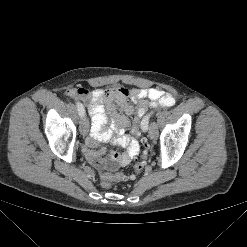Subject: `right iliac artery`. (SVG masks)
Returning a JSON list of instances; mask_svg holds the SVG:
<instances>
[{
  "label": "right iliac artery",
  "mask_w": 247,
  "mask_h": 247,
  "mask_svg": "<svg viewBox=\"0 0 247 247\" xmlns=\"http://www.w3.org/2000/svg\"><path fill=\"white\" fill-rule=\"evenodd\" d=\"M76 105H77L79 116L83 117L85 114V109H84L83 104L80 102H77Z\"/></svg>",
  "instance_id": "obj_1"
}]
</instances>
